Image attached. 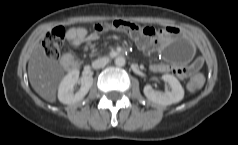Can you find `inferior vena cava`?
<instances>
[{
	"mask_svg": "<svg viewBox=\"0 0 238 145\" xmlns=\"http://www.w3.org/2000/svg\"><path fill=\"white\" fill-rule=\"evenodd\" d=\"M109 62L108 58H99L92 62V67L94 69L103 68Z\"/></svg>",
	"mask_w": 238,
	"mask_h": 145,
	"instance_id": "1",
	"label": "inferior vena cava"
}]
</instances>
